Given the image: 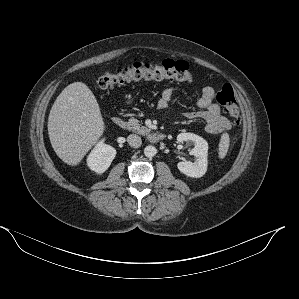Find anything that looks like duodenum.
<instances>
[{"label":"duodenum","instance_id":"1","mask_svg":"<svg viewBox=\"0 0 299 299\" xmlns=\"http://www.w3.org/2000/svg\"><path fill=\"white\" fill-rule=\"evenodd\" d=\"M111 123L118 128H123L125 126V122L122 118L120 117H113L111 120ZM166 135L162 132H155L150 135H148V140L152 143H157L162 141Z\"/></svg>","mask_w":299,"mask_h":299}]
</instances>
